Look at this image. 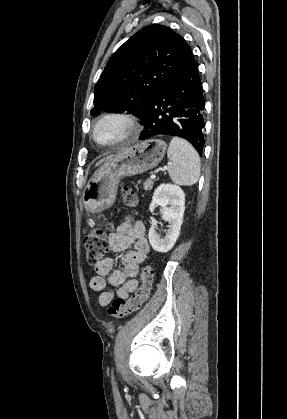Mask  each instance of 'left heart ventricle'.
Returning <instances> with one entry per match:
<instances>
[{
  "instance_id": "obj_1",
  "label": "left heart ventricle",
  "mask_w": 287,
  "mask_h": 419,
  "mask_svg": "<svg viewBox=\"0 0 287 419\" xmlns=\"http://www.w3.org/2000/svg\"><path fill=\"white\" fill-rule=\"evenodd\" d=\"M127 133L126 127L117 121H106L96 131V138L102 143L115 141Z\"/></svg>"
}]
</instances>
